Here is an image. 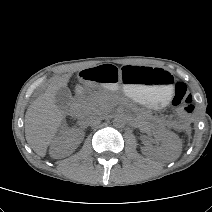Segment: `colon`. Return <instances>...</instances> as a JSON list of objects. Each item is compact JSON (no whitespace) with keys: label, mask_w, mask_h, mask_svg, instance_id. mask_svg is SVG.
<instances>
[{"label":"colon","mask_w":212,"mask_h":212,"mask_svg":"<svg viewBox=\"0 0 212 212\" xmlns=\"http://www.w3.org/2000/svg\"><path fill=\"white\" fill-rule=\"evenodd\" d=\"M172 103L183 116H188L193 112L194 99L184 83L179 82L175 85Z\"/></svg>","instance_id":"colon-1"}]
</instances>
